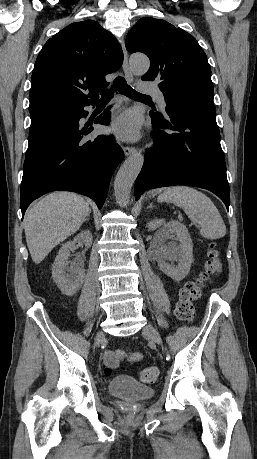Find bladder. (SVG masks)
<instances>
[{"label":"bladder","mask_w":257,"mask_h":459,"mask_svg":"<svg viewBox=\"0 0 257 459\" xmlns=\"http://www.w3.org/2000/svg\"><path fill=\"white\" fill-rule=\"evenodd\" d=\"M107 390L111 396L131 402L145 400L155 395L154 387L122 375L114 377Z\"/></svg>","instance_id":"1"}]
</instances>
